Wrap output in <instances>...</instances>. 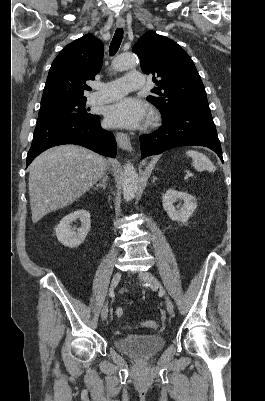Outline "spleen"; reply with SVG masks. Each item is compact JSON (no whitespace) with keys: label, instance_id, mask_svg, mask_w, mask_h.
<instances>
[{"label":"spleen","instance_id":"1","mask_svg":"<svg viewBox=\"0 0 265 401\" xmlns=\"http://www.w3.org/2000/svg\"><path fill=\"white\" fill-rule=\"evenodd\" d=\"M185 154L187 156H191L194 168L196 170H216V166H214L213 162L209 160L206 154L203 152H198V150H186Z\"/></svg>","mask_w":265,"mask_h":401}]
</instances>
